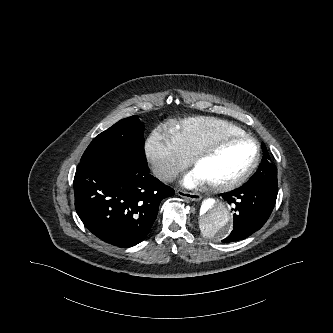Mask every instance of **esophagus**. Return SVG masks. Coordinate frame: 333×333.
Segmentation results:
<instances>
[{"mask_svg": "<svg viewBox=\"0 0 333 333\" xmlns=\"http://www.w3.org/2000/svg\"><path fill=\"white\" fill-rule=\"evenodd\" d=\"M177 194L180 196V197H183V198H187L191 201H199L201 200V196L198 194V193H194V192H187V191H183V190H177Z\"/></svg>", "mask_w": 333, "mask_h": 333, "instance_id": "1", "label": "esophagus"}]
</instances>
